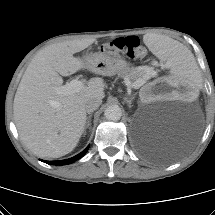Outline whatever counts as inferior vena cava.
Here are the masks:
<instances>
[{
    "mask_svg": "<svg viewBox=\"0 0 215 215\" xmlns=\"http://www.w3.org/2000/svg\"><path fill=\"white\" fill-rule=\"evenodd\" d=\"M102 100L98 98H91L85 103V109L88 113L95 111L101 105Z\"/></svg>",
    "mask_w": 215,
    "mask_h": 215,
    "instance_id": "602c4592",
    "label": "inferior vena cava"
}]
</instances>
